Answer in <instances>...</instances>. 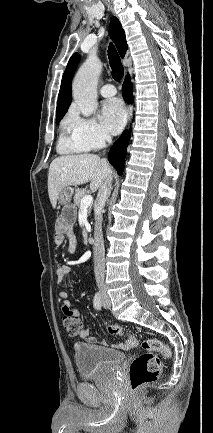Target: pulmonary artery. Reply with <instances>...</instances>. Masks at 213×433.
I'll return each mask as SVG.
<instances>
[{"mask_svg":"<svg viewBox=\"0 0 213 433\" xmlns=\"http://www.w3.org/2000/svg\"><path fill=\"white\" fill-rule=\"evenodd\" d=\"M100 93L103 97L109 98L116 95L117 91L113 84H106L100 89Z\"/></svg>","mask_w":213,"mask_h":433,"instance_id":"e3ab8cb5","label":"pulmonary artery"}]
</instances>
